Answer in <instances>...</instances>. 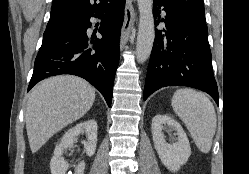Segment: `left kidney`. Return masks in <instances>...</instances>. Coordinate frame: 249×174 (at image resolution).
<instances>
[{
  "mask_svg": "<svg viewBox=\"0 0 249 174\" xmlns=\"http://www.w3.org/2000/svg\"><path fill=\"white\" fill-rule=\"evenodd\" d=\"M167 125L175 129L177 141L167 143L162 132ZM154 147L164 166L172 172L178 171L191 155V148L186 133L181 125L169 115H156L151 124Z\"/></svg>",
  "mask_w": 249,
  "mask_h": 174,
  "instance_id": "obj_1",
  "label": "left kidney"
}]
</instances>
